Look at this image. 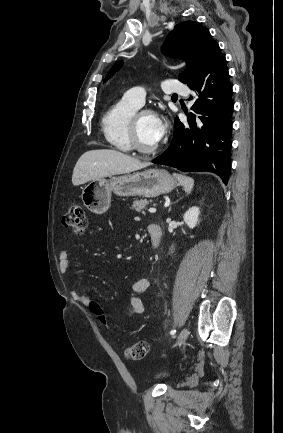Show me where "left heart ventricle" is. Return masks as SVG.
Masks as SVG:
<instances>
[{"label": "left heart ventricle", "instance_id": "1", "mask_svg": "<svg viewBox=\"0 0 283 433\" xmlns=\"http://www.w3.org/2000/svg\"><path fill=\"white\" fill-rule=\"evenodd\" d=\"M155 124V115L145 114L140 118L138 125L139 140L142 147L148 151H156L159 145H155L152 141V132Z\"/></svg>", "mask_w": 283, "mask_h": 433}]
</instances>
